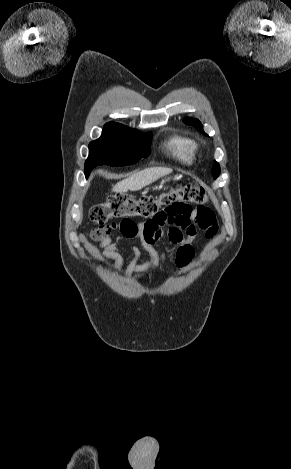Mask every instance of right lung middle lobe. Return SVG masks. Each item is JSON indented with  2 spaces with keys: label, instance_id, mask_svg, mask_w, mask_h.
Listing matches in <instances>:
<instances>
[{
  "label": "right lung middle lobe",
  "instance_id": "obj_1",
  "mask_svg": "<svg viewBox=\"0 0 291 469\" xmlns=\"http://www.w3.org/2000/svg\"><path fill=\"white\" fill-rule=\"evenodd\" d=\"M151 134H143L122 124L109 122L99 139L89 144L85 176L97 165L124 166L135 164L150 154Z\"/></svg>",
  "mask_w": 291,
  "mask_h": 469
}]
</instances>
